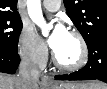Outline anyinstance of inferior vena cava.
Returning <instances> with one entry per match:
<instances>
[{
  "label": "inferior vena cava",
  "instance_id": "obj_1",
  "mask_svg": "<svg viewBox=\"0 0 107 89\" xmlns=\"http://www.w3.org/2000/svg\"><path fill=\"white\" fill-rule=\"evenodd\" d=\"M39 70L36 65L29 59H23L19 65V73L17 75L21 87L20 89H30L32 85L39 80Z\"/></svg>",
  "mask_w": 107,
  "mask_h": 89
}]
</instances>
